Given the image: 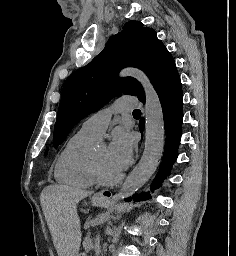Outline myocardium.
<instances>
[{
    "label": "myocardium",
    "mask_w": 236,
    "mask_h": 256,
    "mask_svg": "<svg viewBox=\"0 0 236 256\" xmlns=\"http://www.w3.org/2000/svg\"><path fill=\"white\" fill-rule=\"evenodd\" d=\"M91 167L93 176L95 178V181L106 187L116 186L120 184L124 178L123 173H118L114 176H108L102 172V170L99 168V166L95 163V161L91 158Z\"/></svg>",
    "instance_id": "myocardium-1"
}]
</instances>
